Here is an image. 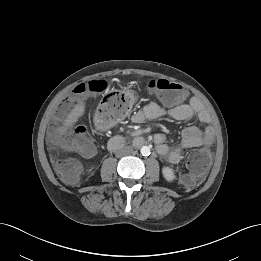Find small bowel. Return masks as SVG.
Masks as SVG:
<instances>
[{"mask_svg":"<svg viewBox=\"0 0 261 261\" xmlns=\"http://www.w3.org/2000/svg\"><path fill=\"white\" fill-rule=\"evenodd\" d=\"M197 116L201 121L207 122L208 117L201 101L193 97L186 104H180L171 108H165L155 102H150L132 116L135 123H143L146 120H156L169 117L176 121L189 120ZM166 137L162 133L154 135L157 152L169 163H178L187 149L209 147L214 141V130L211 126L201 129L197 126H189L182 130L180 142L170 147L165 143Z\"/></svg>","mask_w":261,"mask_h":261,"instance_id":"1","label":"small bowel"}]
</instances>
